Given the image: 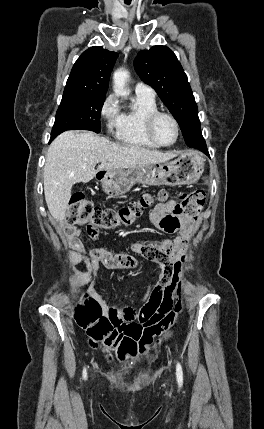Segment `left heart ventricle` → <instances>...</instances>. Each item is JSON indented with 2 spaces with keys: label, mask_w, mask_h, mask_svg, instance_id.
<instances>
[{
  "label": "left heart ventricle",
  "mask_w": 264,
  "mask_h": 429,
  "mask_svg": "<svg viewBox=\"0 0 264 429\" xmlns=\"http://www.w3.org/2000/svg\"><path fill=\"white\" fill-rule=\"evenodd\" d=\"M155 135L160 142L171 143L176 135L172 121L166 117H160L155 123Z\"/></svg>",
  "instance_id": "left-heart-ventricle-1"
}]
</instances>
